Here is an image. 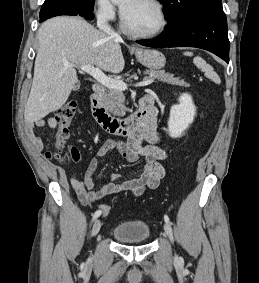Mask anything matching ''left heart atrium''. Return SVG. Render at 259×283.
Listing matches in <instances>:
<instances>
[{"mask_svg": "<svg viewBox=\"0 0 259 283\" xmlns=\"http://www.w3.org/2000/svg\"><path fill=\"white\" fill-rule=\"evenodd\" d=\"M131 2H132V0H125L124 4L122 6V13L123 14L127 11V9L130 6Z\"/></svg>", "mask_w": 259, "mask_h": 283, "instance_id": "left-heart-atrium-1", "label": "left heart atrium"}]
</instances>
